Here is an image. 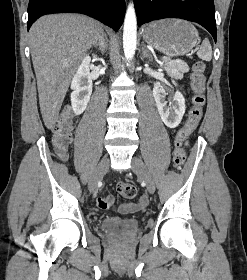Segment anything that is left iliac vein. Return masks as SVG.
Wrapping results in <instances>:
<instances>
[{
	"instance_id": "4c4485c4",
	"label": "left iliac vein",
	"mask_w": 247,
	"mask_h": 280,
	"mask_svg": "<svg viewBox=\"0 0 247 280\" xmlns=\"http://www.w3.org/2000/svg\"><path fill=\"white\" fill-rule=\"evenodd\" d=\"M132 171L145 182L148 192L151 194L154 193L155 191L154 180L150 172L148 171L146 165L140 158L138 157L132 158Z\"/></svg>"
}]
</instances>
